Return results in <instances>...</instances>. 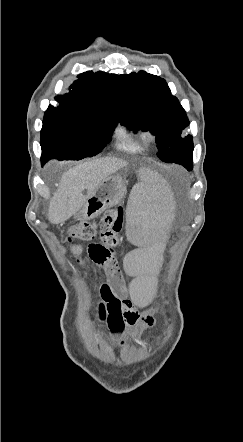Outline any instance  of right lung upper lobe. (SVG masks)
Wrapping results in <instances>:
<instances>
[{"label":"right lung upper lobe","mask_w":243,"mask_h":442,"mask_svg":"<svg viewBox=\"0 0 243 442\" xmlns=\"http://www.w3.org/2000/svg\"><path fill=\"white\" fill-rule=\"evenodd\" d=\"M70 89L69 93L55 97L59 106L80 115L99 116L118 123L120 80L117 75L84 72Z\"/></svg>","instance_id":"obj_1"}]
</instances>
